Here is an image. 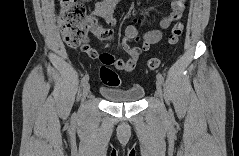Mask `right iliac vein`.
Here are the masks:
<instances>
[{"label": "right iliac vein", "mask_w": 239, "mask_h": 156, "mask_svg": "<svg viewBox=\"0 0 239 156\" xmlns=\"http://www.w3.org/2000/svg\"><path fill=\"white\" fill-rule=\"evenodd\" d=\"M89 93H90V85L86 83L82 91L83 99H85Z\"/></svg>", "instance_id": "1"}]
</instances>
